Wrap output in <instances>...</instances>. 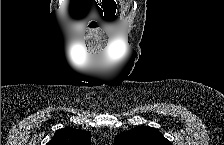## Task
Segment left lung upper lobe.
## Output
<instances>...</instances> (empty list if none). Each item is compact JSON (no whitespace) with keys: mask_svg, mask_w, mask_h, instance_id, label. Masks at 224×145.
Returning <instances> with one entry per match:
<instances>
[{"mask_svg":"<svg viewBox=\"0 0 224 145\" xmlns=\"http://www.w3.org/2000/svg\"><path fill=\"white\" fill-rule=\"evenodd\" d=\"M115 145H171L158 131L148 126H139L116 137Z\"/></svg>","mask_w":224,"mask_h":145,"instance_id":"left-lung-upper-lobe-1","label":"left lung upper lobe"}]
</instances>
